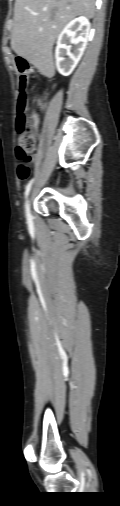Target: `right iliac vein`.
<instances>
[{
    "label": "right iliac vein",
    "instance_id": "63e3f726",
    "mask_svg": "<svg viewBox=\"0 0 120 506\" xmlns=\"http://www.w3.org/2000/svg\"><path fill=\"white\" fill-rule=\"evenodd\" d=\"M26 216L28 219L31 218L30 199L27 201V204H26Z\"/></svg>",
    "mask_w": 120,
    "mask_h": 506
}]
</instances>
